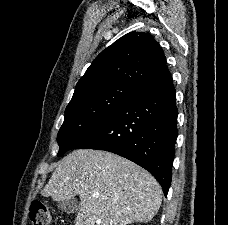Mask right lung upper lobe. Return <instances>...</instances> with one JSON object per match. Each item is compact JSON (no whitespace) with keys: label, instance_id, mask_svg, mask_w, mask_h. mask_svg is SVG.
Wrapping results in <instances>:
<instances>
[{"label":"right lung upper lobe","instance_id":"cb5924a9","mask_svg":"<svg viewBox=\"0 0 228 225\" xmlns=\"http://www.w3.org/2000/svg\"><path fill=\"white\" fill-rule=\"evenodd\" d=\"M165 67L159 43L149 33L130 32L95 58L78 81L71 101L83 91L106 83L123 82L140 88Z\"/></svg>","mask_w":228,"mask_h":225}]
</instances>
